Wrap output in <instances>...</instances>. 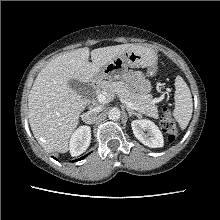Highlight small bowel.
<instances>
[{"label": "small bowel", "mask_w": 220, "mask_h": 220, "mask_svg": "<svg viewBox=\"0 0 220 220\" xmlns=\"http://www.w3.org/2000/svg\"><path fill=\"white\" fill-rule=\"evenodd\" d=\"M131 81L137 87V89L140 92H142V93L147 92V90H148V83H147V81L144 79V77L140 73H135L131 77Z\"/></svg>", "instance_id": "small-bowel-1"}]
</instances>
